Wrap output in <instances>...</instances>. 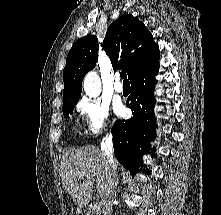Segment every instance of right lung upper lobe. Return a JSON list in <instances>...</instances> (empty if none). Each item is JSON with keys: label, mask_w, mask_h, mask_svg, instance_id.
<instances>
[{"label": "right lung upper lobe", "mask_w": 221, "mask_h": 215, "mask_svg": "<svg viewBox=\"0 0 221 215\" xmlns=\"http://www.w3.org/2000/svg\"><path fill=\"white\" fill-rule=\"evenodd\" d=\"M113 68L116 64L126 70L129 79L159 58V47L145 25L125 14L107 29L102 43ZM98 40L89 35L76 41L70 49L63 71L64 103L79 101L82 80L98 61Z\"/></svg>", "instance_id": "obj_1"}]
</instances>
